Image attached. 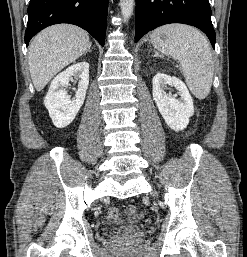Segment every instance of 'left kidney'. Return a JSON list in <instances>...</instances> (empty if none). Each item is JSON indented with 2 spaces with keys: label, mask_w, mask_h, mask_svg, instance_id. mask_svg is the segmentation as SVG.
Instances as JSON below:
<instances>
[{
  "label": "left kidney",
  "mask_w": 247,
  "mask_h": 257,
  "mask_svg": "<svg viewBox=\"0 0 247 257\" xmlns=\"http://www.w3.org/2000/svg\"><path fill=\"white\" fill-rule=\"evenodd\" d=\"M152 84L153 99L166 124L174 131L185 129L194 114L193 100L186 85L178 78L164 73L156 74ZM167 85L174 86L178 90L177 94H167ZM177 95L179 99H176Z\"/></svg>",
  "instance_id": "1"
}]
</instances>
